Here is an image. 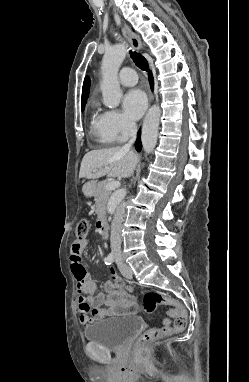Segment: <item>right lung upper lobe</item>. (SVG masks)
Returning a JSON list of instances; mask_svg holds the SVG:
<instances>
[{
	"label": "right lung upper lobe",
	"mask_w": 249,
	"mask_h": 382,
	"mask_svg": "<svg viewBox=\"0 0 249 382\" xmlns=\"http://www.w3.org/2000/svg\"><path fill=\"white\" fill-rule=\"evenodd\" d=\"M89 87H90V80L88 77L85 78L84 83H83V89H82V108L84 109L86 100L89 95Z\"/></svg>",
	"instance_id": "cb5924a9"
}]
</instances>
